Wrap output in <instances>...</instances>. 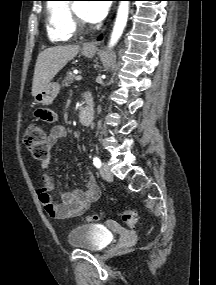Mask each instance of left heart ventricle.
Returning <instances> with one entry per match:
<instances>
[{"mask_svg":"<svg viewBox=\"0 0 216 285\" xmlns=\"http://www.w3.org/2000/svg\"><path fill=\"white\" fill-rule=\"evenodd\" d=\"M76 12L83 18H84V9H85V4L82 2H78L74 4Z\"/></svg>","mask_w":216,"mask_h":285,"instance_id":"obj_1","label":"left heart ventricle"}]
</instances>
